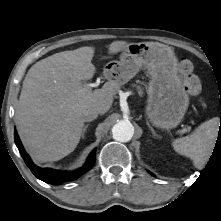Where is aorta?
Segmentation results:
<instances>
[{
    "mask_svg": "<svg viewBox=\"0 0 221 221\" xmlns=\"http://www.w3.org/2000/svg\"><path fill=\"white\" fill-rule=\"evenodd\" d=\"M113 138L120 142H128L134 134V126L125 120L116 123L112 128Z\"/></svg>",
    "mask_w": 221,
    "mask_h": 221,
    "instance_id": "1",
    "label": "aorta"
}]
</instances>
